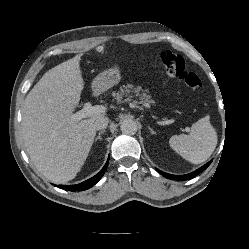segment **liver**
Returning a JSON list of instances; mask_svg holds the SVG:
<instances>
[{"mask_svg":"<svg viewBox=\"0 0 249 249\" xmlns=\"http://www.w3.org/2000/svg\"><path fill=\"white\" fill-rule=\"evenodd\" d=\"M84 80L80 55L47 71L25 98L22 137L37 168L54 183L75 178L84 165L96 135L94 122L105 114L72 121Z\"/></svg>","mask_w":249,"mask_h":249,"instance_id":"obj_1","label":"liver"}]
</instances>
